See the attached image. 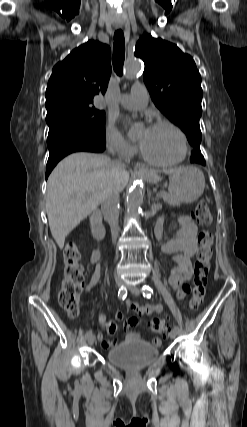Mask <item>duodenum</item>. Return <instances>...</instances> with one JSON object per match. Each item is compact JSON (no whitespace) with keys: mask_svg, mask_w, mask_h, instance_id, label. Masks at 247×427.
Returning a JSON list of instances; mask_svg holds the SVG:
<instances>
[{"mask_svg":"<svg viewBox=\"0 0 247 427\" xmlns=\"http://www.w3.org/2000/svg\"><path fill=\"white\" fill-rule=\"evenodd\" d=\"M90 225L93 236L97 240H103L105 237V229L102 224V215L100 211H94L90 217Z\"/></svg>","mask_w":247,"mask_h":427,"instance_id":"duodenum-1","label":"duodenum"}]
</instances>
